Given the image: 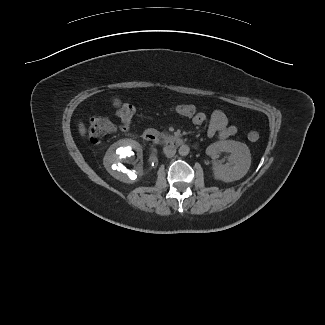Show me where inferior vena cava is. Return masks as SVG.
<instances>
[{
  "mask_svg": "<svg viewBox=\"0 0 325 325\" xmlns=\"http://www.w3.org/2000/svg\"><path fill=\"white\" fill-rule=\"evenodd\" d=\"M163 151H164V154H165L168 158L173 157V156L175 155V153H176L175 148L170 147V146H165V147L163 148Z\"/></svg>",
  "mask_w": 325,
  "mask_h": 325,
  "instance_id": "602c4592",
  "label": "inferior vena cava"
}]
</instances>
